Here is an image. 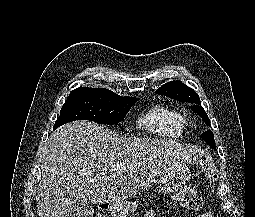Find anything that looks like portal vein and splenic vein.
Listing matches in <instances>:
<instances>
[{
	"label": "portal vein and splenic vein",
	"instance_id": "obj_1",
	"mask_svg": "<svg viewBox=\"0 0 255 217\" xmlns=\"http://www.w3.org/2000/svg\"><path fill=\"white\" fill-rule=\"evenodd\" d=\"M123 167L119 164H116L114 167H113V170H121Z\"/></svg>",
	"mask_w": 255,
	"mask_h": 217
}]
</instances>
